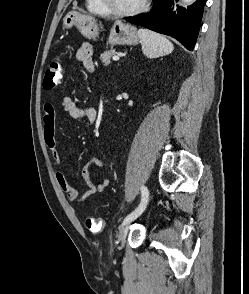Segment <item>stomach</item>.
Masks as SVG:
<instances>
[{"label":"stomach","instance_id":"0dacf381","mask_svg":"<svg viewBox=\"0 0 249 294\" xmlns=\"http://www.w3.org/2000/svg\"><path fill=\"white\" fill-rule=\"evenodd\" d=\"M76 26L83 36L94 39L99 35V27L93 17L78 13L69 12L63 19V28L69 29ZM137 28L122 21H116L112 26L108 38V43L114 45H135L139 42Z\"/></svg>","mask_w":249,"mask_h":294}]
</instances>
